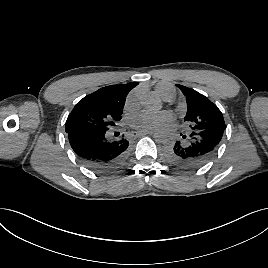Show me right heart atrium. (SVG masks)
<instances>
[{
    "instance_id": "d8ad5b80",
    "label": "right heart atrium",
    "mask_w": 268,
    "mask_h": 268,
    "mask_svg": "<svg viewBox=\"0 0 268 268\" xmlns=\"http://www.w3.org/2000/svg\"><path fill=\"white\" fill-rule=\"evenodd\" d=\"M137 105H138V96L137 93L134 92L128 97L126 101V108L135 109Z\"/></svg>"
}]
</instances>
